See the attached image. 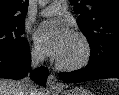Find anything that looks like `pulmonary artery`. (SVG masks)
<instances>
[{
    "label": "pulmonary artery",
    "instance_id": "e3ab8cb5",
    "mask_svg": "<svg viewBox=\"0 0 119 95\" xmlns=\"http://www.w3.org/2000/svg\"><path fill=\"white\" fill-rule=\"evenodd\" d=\"M67 12V3L64 0L54 1L51 5L42 10L44 16L62 15Z\"/></svg>",
    "mask_w": 119,
    "mask_h": 95
}]
</instances>
